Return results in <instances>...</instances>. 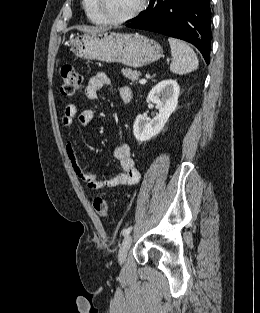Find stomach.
Instances as JSON below:
<instances>
[{
  "label": "stomach",
  "mask_w": 260,
  "mask_h": 313,
  "mask_svg": "<svg viewBox=\"0 0 260 313\" xmlns=\"http://www.w3.org/2000/svg\"><path fill=\"white\" fill-rule=\"evenodd\" d=\"M76 57L140 68L157 61L163 54L159 43L139 33L110 31L85 33L71 42Z\"/></svg>",
  "instance_id": "obj_1"
}]
</instances>
